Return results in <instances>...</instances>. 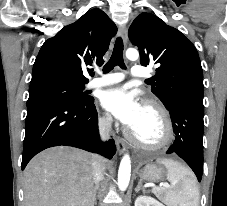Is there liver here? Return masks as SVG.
<instances>
[{"mask_svg": "<svg viewBox=\"0 0 227 206\" xmlns=\"http://www.w3.org/2000/svg\"><path fill=\"white\" fill-rule=\"evenodd\" d=\"M94 156L63 146L36 155L24 171V206H92Z\"/></svg>", "mask_w": 227, "mask_h": 206, "instance_id": "1", "label": "liver"}]
</instances>
